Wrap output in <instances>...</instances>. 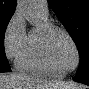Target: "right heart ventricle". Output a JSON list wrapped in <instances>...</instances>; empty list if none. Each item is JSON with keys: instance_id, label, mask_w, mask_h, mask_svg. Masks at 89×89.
Masks as SVG:
<instances>
[{"instance_id": "obj_1", "label": "right heart ventricle", "mask_w": 89, "mask_h": 89, "mask_svg": "<svg viewBox=\"0 0 89 89\" xmlns=\"http://www.w3.org/2000/svg\"><path fill=\"white\" fill-rule=\"evenodd\" d=\"M42 16L43 22L40 26L33 27L27 34L25 47L17 59V67L28 74L62 78L64 75L54 70L48 62L41 39L42 26L52 24L47 16Z\"/></svg>"}]
</instances>
